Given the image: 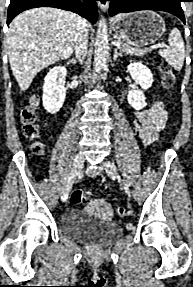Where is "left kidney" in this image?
Wrapping results in <instances>:
<instances>
[{"mask_svg": "<svg viewBox=\"0 0 193 287\" xmlns=\"http://www.w3.org/2000/svg\"><path fill=\"white\" fill-rule=\"evenodd\" d=\"M127 71L130 73L133 80L142 88V90H131L128 92V103L135 110H141L147 105L143 91L152 86L154 81L153 74L148 67L140 62L130 63L127 66Z\"/></svg>", "mask_w": 193, "mask_h": 287, "instance_id": "obj_1", "label": "left kidney"}]
</instances>
